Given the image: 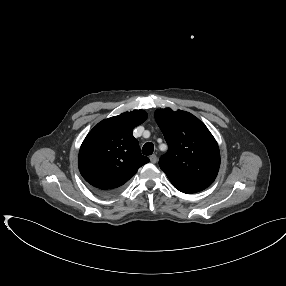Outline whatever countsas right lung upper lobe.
I'll use <instances>...</instances> for the list:
<instances>
[{"label": "right lung upper lobe", "instance_id": "right-lung-upper-lobe-1", "mask_svg": "<svg viewBox=\"0 0 286 286\" xmlns=\"http://www.w3.org/2000/svg\"><path fill=\"white\" fill-rule=\"evenodd\" d=\"M146 119L144 110L125 112L102 120L88 133L79 151L78 166L94 189L117 192L149 162L132 134Z\"/></svg>", "mask_w": 286, "mask_h": 286}]
</instances>
